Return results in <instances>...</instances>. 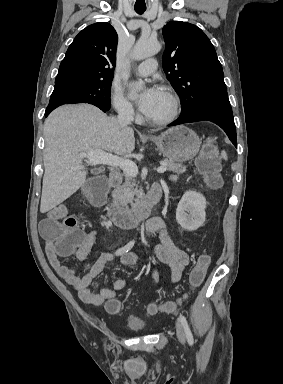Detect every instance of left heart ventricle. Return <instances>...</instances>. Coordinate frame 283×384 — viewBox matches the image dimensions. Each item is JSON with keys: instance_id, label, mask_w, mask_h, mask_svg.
I'll use <instances>...</instances> for the list:
<instances>
[{"instance_id": "b2bd125f", "label": "left heart ventricle", "mask_w": 283, "mask_h": 384, "mask_svg": "<svg viewBox=\"0 0 283 384\" xmlns=\"http://www.w3.org/2000/svg\"><path fill=\"white\" fill-rule=\"evenodd\" d=\"M170 111V103L165 95V93H162L160 99L155 104L151 112L147 115H144L148 119H160L169 114Z\"/></svg>"}]
</instances>
